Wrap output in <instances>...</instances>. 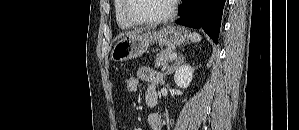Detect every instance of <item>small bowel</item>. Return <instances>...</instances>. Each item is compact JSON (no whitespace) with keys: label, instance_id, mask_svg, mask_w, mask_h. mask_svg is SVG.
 Instances as JSON below:
<instances>
[{"label":"small bowel","instance_id":"c3829d8e","mask_svg":"<svg viewBox=\"0 0 299 130\" xmlns=\"http://www.w3.org/2000/svg\"><path fill=\"white\" fill-rule=\"evenodd\" d=\"M137 76L140 82H144L146 84L145 98L147 99L148 95L152 93H156V85L159 82L161 75L159 72L149 68V67H141L137 71ZM148 123L152 130H161L162 122L161 118L156 113H151L148 116Z\"/></svg>","mask_w":299,"mask_h":130}]
</instances>
